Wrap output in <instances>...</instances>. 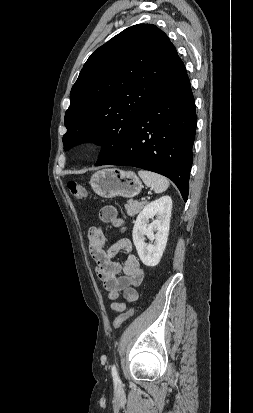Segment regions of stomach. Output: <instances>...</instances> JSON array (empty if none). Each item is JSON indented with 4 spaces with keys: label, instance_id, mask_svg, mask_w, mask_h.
Instances as JSON below:
<instances>
[{
    "label": "stomach",
    "instance_id": "0dacf381",
    "mask_svg": "<svg viewBox=\"0 0 253 413\" xmlns=\"http://www.w3.org/2000/svg\"><path fill=\"white\" fill-rule=\"evenodd\" d=\"M93 191L102 198L118 196L132 198L142 189V183L132 171L120 169H104L95 172L90 180Z\"/></svg>",
    "mask_w": 253,
    "mask_h": 413
}]
</instances>
